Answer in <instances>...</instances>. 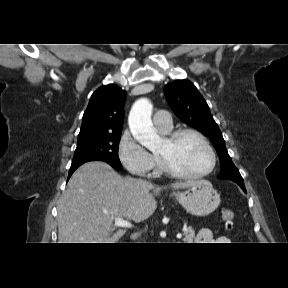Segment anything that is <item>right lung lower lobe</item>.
<instances>
[{"instance_id":"right-lung-lower-lobe-1","label":"right lung lower lobe","mask_w":288,"mask_h":288,"mask_svg":"<svg viewBox=\"0 0 288 288\" xmlns=\"http://www.w3.org/2000/svg\"><path fill=\"white\" fill-rule=\"evenodd\" d=\"M80 165H81V164H80ZM80 165L71 166V168H70V170H69L68 179L70 178V176L72 175V173H73Z\"/></svg>"}]
</instances>
